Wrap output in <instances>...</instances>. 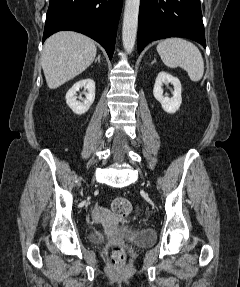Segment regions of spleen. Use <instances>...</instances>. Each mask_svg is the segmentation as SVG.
I'll return each mask as SVG.
<instances>
[{
    "mask_svg": "<svg viewBox=\"0 0 240 287\" xmlns=\"http://www.w3.org/2000/svg\"><path fill=\"white\" fill-rule=\"evenodd\" d=\"M157 52L167 67H181L192 81L197 82L203 77L204 61L193 43L182 38H168L159 42Z\"/></svg>",
    "mask_w": 240,
    "mask_h": 287,
    "instance_id": "obj_1",
    "label": "spleen"
}]
</instances>
